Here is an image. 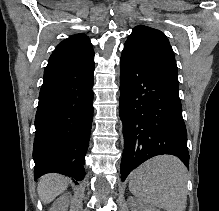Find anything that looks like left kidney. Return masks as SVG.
I'll return each instance as SVG.
<instances>
[{
    "label": "left kidney",
    "instance_id": "left-kidney-1",
    "mask_svg": "<svg viewBox=\"0 0 219 211\" xmlns=\"http://www.w3.org/2000/svg\"><path fill=\"white\" fill-rule=\"evenodd\" d=\"M133 211H159V209H157V207H151V205H148V207H140V209H138V207H133Z\"/></svg>",
    "mask_w": 219,
    "mask_h": 211
}]
</instances>
